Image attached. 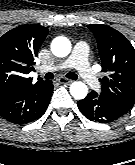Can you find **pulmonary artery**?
I'll list each match as a JSON object with an SVG mask.
<instances>
[{
    "label": "pulmonary artery",
    "instance_id": "pulmonary-artery-1",
    "mask_svg": "<svg viewBox=\"0 0 135 165\" xmlns=\"http://www.w3.org/2000/svg\"><path fill=\"white\" fill-rule=\"evenodd\" d=\"M68 68H75L90 88L96 89L99 87L98 79L88 62V45L86 42H77L67 59L55 65L44 67L42 71H59Z\"/></svg>",
    "mask_w": 135,
    "mask_h": 165
}]
</instances>
